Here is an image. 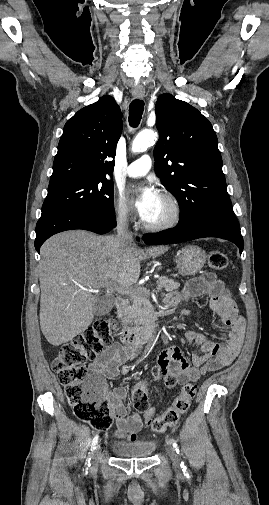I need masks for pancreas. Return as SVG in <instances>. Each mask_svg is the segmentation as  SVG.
I'll return each instance as SVG.
<instances>
[{"label":"pancreas","mask_w":269,"mask_h":505,"mask_svg":"<svg viewBox=\"0 0 269 505\" xmlns=\"http://www.w3.org/2000/svg\"><path fill=\"white\" fill-rule=\"evenodd\" d=\"M180 284L167 277H161L157 281V289L173 291L178 289ZM130 304L125 307L119 317L125 324L141 325L146 321L149 311V291L146 288L138 287L134 293L129 294Z\"/></svg>","instance_id":"obj_1"}]
</instances>
